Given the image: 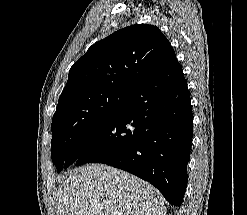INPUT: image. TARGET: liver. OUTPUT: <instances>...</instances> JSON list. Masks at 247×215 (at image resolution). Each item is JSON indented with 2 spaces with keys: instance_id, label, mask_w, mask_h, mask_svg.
<instances>
[{
  "instance_id": "obj_1",
  "label": "liver",
  "mask_w": 247,
  "mask_h": 215,
  "mask_svg": "<svg viewBox=\"0 0 247 215\" xmlns=\"http://www.w3.org/2000/svg\"><path fill=\"white\" fill-rule=\"evenodd\" d=\"M57 215H166L153 186L103 164L70 170L57 193Z\"/></svg>"
}]
</instances>
